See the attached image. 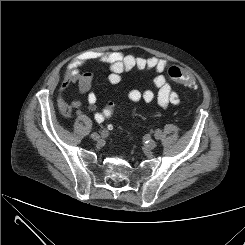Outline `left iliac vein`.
Instances as JSON below:
<instances>
[{"instance_id": "1", "label": "left iliac vein", "mask_w": 245, "mask_h": 245, "mask_svg": "<svg viewBox=\"0 0 245 245\" xmlns=\"http://www.w3.org/2000/svg\"><path fill=\"white\" fill-rule=\"evenodd\" d=\"M156 146H157L156 141H154V140H152V139L149 140V142H148V144H147V147H148L150 150L154 149Z\"/></svg>"}]
</instances>
